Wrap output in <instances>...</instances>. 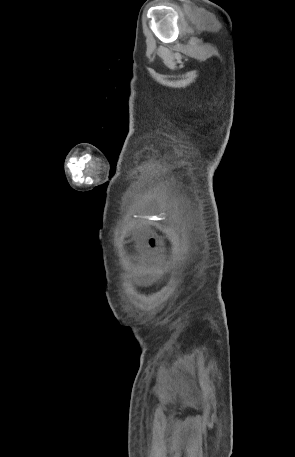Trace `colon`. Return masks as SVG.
<instances>
[{"label":"colon","instance_id":"1","mask_svg":"<svg viewBox=\"0 0 295 457\" xmlns=\"http://www.w3.org/2000/svg\"><path fill=\"white\" fill-rule=\"evenodd\" d=\"M148 243H149V247H150L151 249H155V248L157 247V245H158V240H157V238H155V237H151V238L149 239V242H148Z\"/></svg>","mask_w":295,"mask_h":457}]
</instances>
